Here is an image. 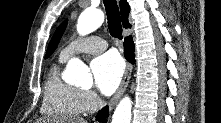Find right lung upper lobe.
Listing matches in <instances>:
<instances>
[{"mask_svg": "<svg viewBox=\"0 0 221 123\" xmlns=\"http://www.w3.org/2000/svg\"><path fill=\"white\" fill-rule=\"evenodd\" d=\"M120 11H121V18H122V24L125 28H130L131 25L128 22V15L130 12V7L126 0H120Z\"/></svg>", "mask_w": 221, "mask_h": 123, "instance_id": "right-lung-upper-lobe-1", "label": "right lung upper lobe"}]
</instances>
